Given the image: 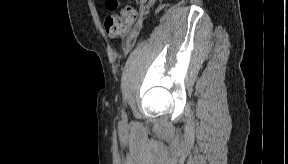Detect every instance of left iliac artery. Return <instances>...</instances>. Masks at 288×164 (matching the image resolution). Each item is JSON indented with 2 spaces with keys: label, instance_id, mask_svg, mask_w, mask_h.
<instances>
[{
  "label": "left iliac artery",
  "instance_id": "obj_1",
  "mask_svg": "<svg viewBox=\"0 0 288 164\" xmlns=\"http://www.w3.org/2000/svg\"><path fill=\"white\" fill-rule=\"evenodd\" d=\"M122 119H123V120H126V119H127V115H126V113H125L124 111H122Z\"/></svg>",
  "mask_w": 288,
  "mask_h": 164
}]
</instances>
